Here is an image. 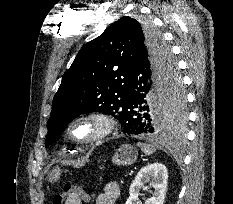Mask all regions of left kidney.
<instances>
[{
  "label": "left kidney",
  "instance_id": "left-kidney-1",
  "mask_svg": "<svg viewBox=\"0 0 233 204\" xmlns=\"http://www.w3.org/2000/svg\"><path fill=\"white\" fill-rule=\"evenodd\" d=\"M168 171L165 165L153 163L143 167L132 182L129 193L130 196L125 204H137L140 189L146 182L154 188L151 198L145 201V204H163L167 190Z\"/></svg>",
  "mask_w": 233,
  "mask_h": 204
}]
</instances>
